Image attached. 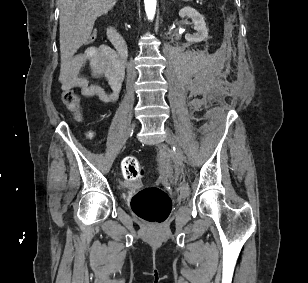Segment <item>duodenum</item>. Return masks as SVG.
<instances>
[{"label":"duodenum","mask_w":308,"mask_h":283,"mask_svg":"<svg viewBox=\"0 0 308 283\" xmlns=\"http://www.w3.org/2000/svg\"><path fill=\"white\" fill-rule=\"evenodd\" d=\"M107 36L117 52V57H118L120 66L123 70L125 62L128 57V48H127L126 41L123 38V36L120 34L118 29L113 25H109L107 27Z\"/></svg>","instance_id":"1"}]
</instances>
